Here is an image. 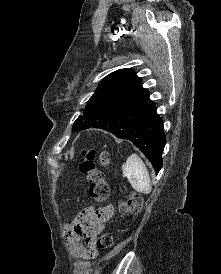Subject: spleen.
Returning a JSON list of instances; mask_svg holds the SVG:
<instances>
[{
  "mask_svg": "<svg viewBox=\"0 0 221 274\" xmlns=\"http://www.w3.org/2000/svg\"><path fill=\"white\" fill-rule=\"evenodd\" d=\"M122 172L132 185L133 189L140 193L151 192V183L148 170L137 154H132L122 165Z\"/></svg>",
  "mask_w": 221,
  "mask_h": 274,
  "instance_id": "3e777b00",
  "label": "spleen"
}]
</instances>
